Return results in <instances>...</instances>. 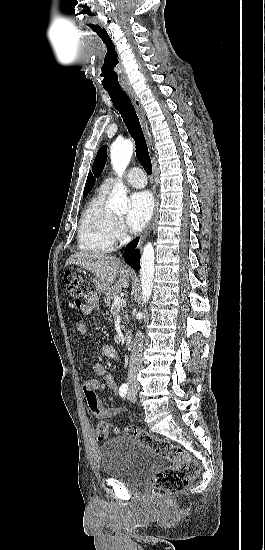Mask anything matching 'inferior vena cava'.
Segmentation results:
<instances>
[{
	"label": "inferior vena cava",
	"mask_w": 265,
	"mask_h": 550,
	"mask_svg": "<svg viewBox=\"0 0 265 550\" xmlns=\"http://www.w3.org/2000/svg\"><path fill=\"white\" fill-rule=\"evenodd\" d=\"M143 362V334L141 332L136 333V339L134 340L133 349L130 357L128 382L130 384L137 383V375Z\"/></svg>",
	"instance_id": "1"
}]
</instances>
